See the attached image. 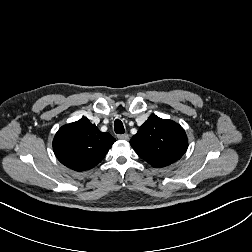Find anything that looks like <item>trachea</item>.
Instances as JSON below:
<instances>
[{
    "label": "trachea",
    "mask_w": 252,
    "mask_h": 252,
    "mask_svg": "<svg viewBox=\"0 0 252 252\" xmlns=\"http://www.w3.org/2000/svg\"><path fill=\"white\" fill-rule=\"evenodd\" d=\"M114 130L117 134H123L125 132L123 123L119 119H116L114 122Z\"/></svg>",
    "instance_id": "3493384b"
}]
</instances>
